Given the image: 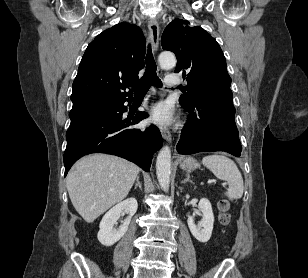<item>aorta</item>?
<instances>
[{
	"instance_id": "762f6f07",
	"label": "aorta",
	"mask_w": 308,
	"mask_h": 278,
	"mask_svg": "<svg viewBox=\"0 0 308 278\" xmlns=\"http://www.w3.org/2000/svg\"><path fill=\"white\" fill-rule=\"evenodd\" d=\"M160 65L163 67H174L176 65L175 55L171 52H162L159 55ZM171 151L168 146L163 147L156 161V174L160 187L163 191L169 190L171 173Z\"/></svg>"
}]
</instances>
